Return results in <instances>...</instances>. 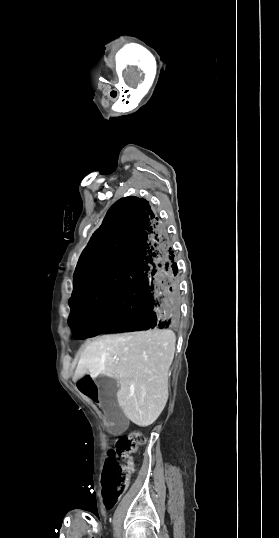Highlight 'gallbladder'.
I'll return each mask as SVG.
<instances>
[{
    "instance_id": "gallbladder-1",
    "label": "gallbladder",
    "mask_w": 279,
    "mask_h": 538,
    "mask_svg": "<svg viewBox=\"0 0 279 538\" xmlns=\"http://www.w3.org/2000/svg\"><path fill=\"white\" fill-rule=\"evenodd\" d=\"M95 384H97L100 392H102L101 408L105 410V416L112 423L110 426L112 433H123L128 421L122 413V406L114 404L116 394L119 390L116 380L107 378V376H100V378L95 380Z\"/></svg>"
}]
</instances>
